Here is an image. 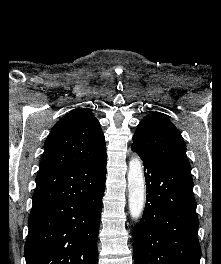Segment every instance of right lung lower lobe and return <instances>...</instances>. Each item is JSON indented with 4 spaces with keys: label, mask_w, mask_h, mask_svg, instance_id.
Returning <instances> with one entry per match:
<instances>
[{
    "label": "right lung lower lobe",
    "mask_w": 221,
    "mask_h": 264,
    "mask_svg": "<svg viewBox=\"0 0 221 264\" xmlns=\"http://www.w3.org/2000/svg\"><path fill=\"white\" fill-rule=\"evenodd\" d=\"M106 160L38 174L26 264H97Z\"/></svg>",
    "instance_id": "98d812e1"
}]
</instances>
